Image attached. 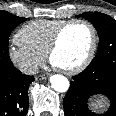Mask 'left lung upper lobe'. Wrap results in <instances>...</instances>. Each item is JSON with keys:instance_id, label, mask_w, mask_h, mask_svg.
<instances>
[{"instance_id": "obj_1", "label": "left lung upper lobe", "mask_w": 116, "mask_h": 116, "mask_svg": "<svg viewBox=\"0 0 116 116\" xmlns=\"http://www.w3.org/2000/svg\"><path fill=\"white\" fill-rule=\"evenodd\" d=\"M77 17L88 19L98 32L99 50L92 62L114 60L116 57V21L109 15L100 12H86Z\"/></svg>"}]
</instances>
